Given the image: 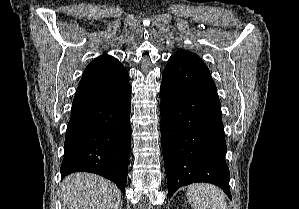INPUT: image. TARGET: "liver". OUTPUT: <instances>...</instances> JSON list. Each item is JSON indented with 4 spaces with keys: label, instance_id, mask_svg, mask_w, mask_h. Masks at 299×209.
<instances>
[{
    "label": "liver",
    "instance_id": "1",
    "mask_svg": "<svg viewBox=\"0 0 299 209\" xmlns=\"http://www.w3.org/2000/svg\"><path fill=\"white\" fill-rule=\"evenodd\" d=\"M61 200L63 209H118L121 192L98 175L75 173L63 180Z\"/></svg>",
    "mask_w": 299,
    "mask_h": 209
}]
</instances>
